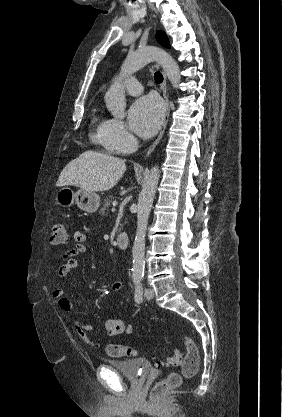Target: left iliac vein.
Segmentation results:
<instances>
[{"mask_svg":"<svg viewBox=\"0 0 282 417\" xmlns=\"http://www.w3.org/2000/svg\"><path fill=\"white\" fill-rule=\"evenodd\" d=\"M144 296H145L146 299H149V300L153 299L154 291L152 289L148 288V289L145 290Z\"/></svg>","mask_w":282,"mask_h":417,"instance_id":"4c4485c4","label":"left iliac vein"}]
</instances>
